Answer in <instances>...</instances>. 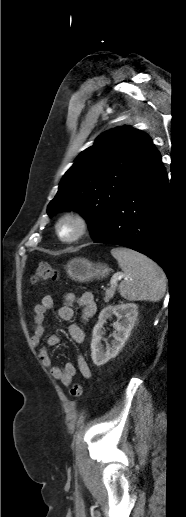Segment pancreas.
Instances as JSON below:
<instances>
[{
  "mask_svg": "<svg viewBox=\"0 0 186 517\" xmlns=\"http://www.w3.org/2000/svg\"><path fill=\"white\" fill-rule=\"evenodd\" d=\"M115 290H116L115 287H111L106 290L105 297H104L105 302H108L114 296Z\"/></svg>",
  "mask_w": 186,
  "mask_h": 517,
  "instance_id": "1",
  "label": "pancreas"
}]
</instances>
